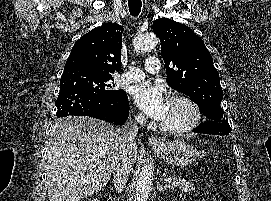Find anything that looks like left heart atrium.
Here are the masks:
<instances>
[{"instance_id":"obj_1","label":"left heart atrium","mask_w":271,"mask_h":201,"mask_svg":"<svg viewBox=\"0 0 271 201\" xmlns=\"http://www.w3.org/2000/svg\"><path fill=\"white\" fill-rule=\"evenodd\" d=\"M135 104L149 117L163 121L169 109L170 101L164 89L159 85L141 83L132 90Z\"/></svg>"}]
</instances>
